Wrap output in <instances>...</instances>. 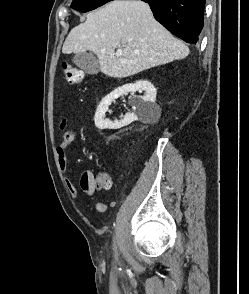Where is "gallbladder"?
I'll list each match as a JSON object with an SVG mask.
<instances>
[{
    "label": "gallbladder",
    "mask_w": 249,
    "mask_h": 294,
    "mask_svg": "<svg viewBox=\"0 0 249 294\" xmlns=\"http://www.w3.org/2000/svg\"><path fill=\"white\" fill-rule=\"evenodd\" d=\"M73 63L85 73L95 75L99 72V62L90 52L75 54L72 59Z\"/></svg>",
    "instance_id": "bac80fb5"
}]
</instances>
